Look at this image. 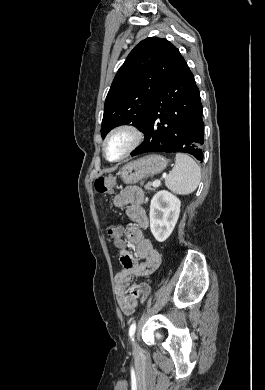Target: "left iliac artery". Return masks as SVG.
<instances>
[{
	"label": "left iliac artery",
	"instance_id": "obj_1",
	"mask_svg": "<svg viewBox=\"0 0 265 390\" xmlns=\"http://www.w3.org/2000/svg\"><path fill=\"white\" fill-rule=\"evenodd\" d=\"M135 330H136V323H133L129 328V336H130L132 341L134 340L133 336H134Z\"/></svg>",
	"mask_w": 265,
	"mask_h": 390
}]
</instances>
